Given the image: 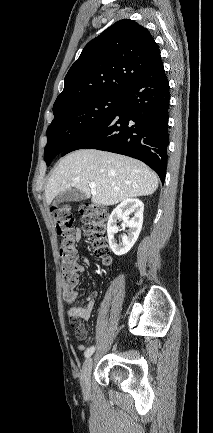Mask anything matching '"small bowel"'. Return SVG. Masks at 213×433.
Masks as SVG:
<instances>
[{"label": "small bowel", "instance_id": "1", "mask_svg": "<svg viewBox=\"0 0 213 433\" xmlns=\"http://www.w3.org/2000/svg\"><path fill=\"white\" fill-rule=\"evenodd\" d=\"M75 240L80 243L81 242V231L79 229L75 232ZM89 264L88 259H84L81 263H76V275L84 270V266ZM97 293L91 292L90 295L86 298L85 303L83 305H75L70 307L68 310V314L77 319H81L87 321L91 318L92 311L95 307ZM86 336V331L83 328V334L81 338ZM77 348L82 351L85 349L84 344H79Z\"/></svg>", "mask_w": 213, "mask_h": 433}]
</instances>
